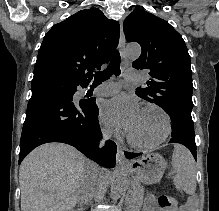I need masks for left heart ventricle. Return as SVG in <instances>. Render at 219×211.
Listing matches in <instances>:
<instances>
[{
  "label": "left heart ventricle",
  "instance_id": "b2bd125f",
  "mask_svg": "<svg viewBox=\"0 0 219 211\" xmlns=\"http://www.w3.org/2000/svg\"><path fill=\"white\" fill-rule=\"evenodd\" d=\"M165 128L164 118L155 109H146L140 112L134 127L129 131L131 136L144 143H149L159 139Z\"/></svg>",
  "mask_w": 219,
  "mask_h": 211
}]
</instances>
